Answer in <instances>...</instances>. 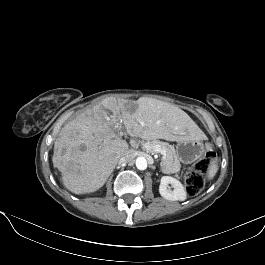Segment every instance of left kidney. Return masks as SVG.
Here are the masks:
<instances>
[{"instance_id":"left-kidney-1","label":"left kidney","mask_w":265,"mask_h":265,"mask_svg":"<svg viewBox=\"0 0 265 265\" xmlns=\"http://www.w3.org/2000/svg\"><path fill=\"white\" fill-rule=\"evenodd\" d=\"M169 184L173 187L170 189ZM160 195L170 201H184L186 199V190L181 182L171 176H163L159 186Z\"/></svg>"}]
</instances>
